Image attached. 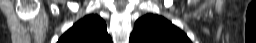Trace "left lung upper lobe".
I'll list each match as a JSON object with an SVG mask.
<instances>
[{"instance_id": "1", "label": "left lung upper lobe", "mask_w": 256, "mask_h": 43, "mask_svg": "<svg viewBox=\"0 0 256 43\" xmlns=\"http://www.w3.org/2000/svg\"><path fill=\"white\" fill-rule=\"evenodd\" d=\"M129 43H191L187 35L162 16L147 14L134 24Z\"/></svg>"}]
</instances>
